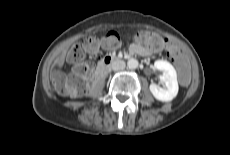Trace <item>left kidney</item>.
<instances>
[{
	"label": "left kidney",
	"mask_w": 230,
	"mask_h": 155,
	"mask_svg": "<svg viewBox=\"0 0 230 155\" xmlns=\"http://www.w3.org/2000/svg\"><path fill=\"white\" fill-rule=\"evenodd\" d=\"M154 67L157 70L162 71L163 75L160 79L165 83V88H161L152 83L149 87L151 93L159 101H172L177 96L179 89L175 68L165 60L155 61Z\"/></svg>",
	"instance_id": "1"
}]
</instances>
